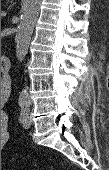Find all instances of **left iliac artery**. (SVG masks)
<instances>
[{
  "label": "left iliac artery",
  "instance_id": "44dca946",
  "mask_svg": "<svg viewBox=\"0 0 109 170\" xmlns=\"http://www.w3.org/2000/svg\"><path fill=\"white\" fill-rule=\"evenodd\" d=\"M29 108L28 105H22V110H21V114L19 117V121L22 122L24 119V116L28 114Z\"/></svg>",
  "mask_w": 109,
  "mask_h": 170
}]
</instances>
